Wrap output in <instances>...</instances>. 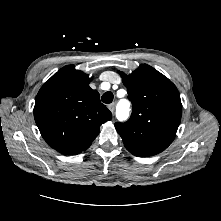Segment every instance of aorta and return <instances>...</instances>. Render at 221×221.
I'll use <instances>...</instances> for the list:
<instances>
[{
  "mask_svg": "<svg viewBox=\"0 0 221 221\" xmlns=\"http://www.w3.org/2000/svg\"><path fill=\"white\" fill-rule=\"evenodd\" d=\"M130 104L126 100H122L118 103L116 116L120 120H125L129 116Z\"/></svg>",
  "mask_w": 221,
  "mask_h": 221,
  "instance_id": "1",
  "label": "aorta"
}]
</instances>
